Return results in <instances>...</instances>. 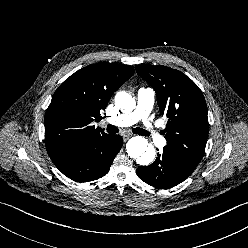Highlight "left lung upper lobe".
Segmentation results:
<instances>
[{
	"instance_id": "1",
	"label": "left lung upper lobe",
	"mask_w": 248,
	"mask_h": 248,
	"mask_svg": "<svg viewBox=\"0 0 248 248\" xmlns=\"http://www.w3.org/2000/svg\"><path fill=\"white\" fill-rule=\"evenodd\" d=\"M156 91L161 115H166L164 150L195 168L204 155L209 124L207 105L198 86L182 72L148 64L135 67Z\"/></svg>"
}]
</instances>
